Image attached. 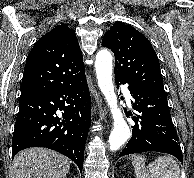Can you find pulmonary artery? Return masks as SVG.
I'll list each match as a JSON object with an SVG mask.
<instances>
[{
    "mask_svg": "<svg viewBox=\"0 0 194 178\" xmlns=\"http://www.w3.org/2000/svg\"><path fill=\"white\" fill-rule=\"evenodd\" d=\"M123 93L127 99L131 98L130 91L127 88L123 89Z\"/></svg>",
    "mask_w": 194,
    "mask_h": 178,
    "instance_id": "e3ab8cb5",
    "label": "pulmonary artery"
}]
</instances>
